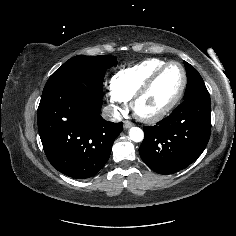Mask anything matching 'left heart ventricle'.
I'll use <instances>...</instances> for the list:
<instances>
[{"instance_id":"b2bd125f","label":"left heart ventricle","mask_w":236,"mask_h":236,"mask_svg":"<svg viewBox=\"0 0 236 236\" xmlns=\"http://www.w3.org/2000/svg\"><path fill=\"white\" fill-rule=\"evenodd\" d=\"M182 83V72L176 65L168 67L139 101L137 109L146 115L154 114L166 107L176 96Z\"/></svg>"}]
</instances>
